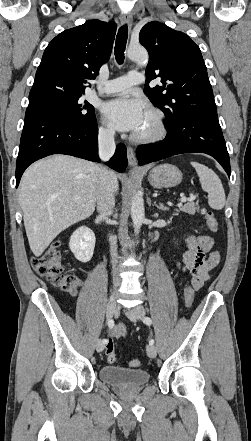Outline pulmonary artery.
<instances>
[{"label":"pulmonary artery","instance_id":"obj_1","mask_svg":"<svg viewBox=\"0 0 251 441\" xmlns=\"http://www.w3.org/2000/svg\"><path fill=\"white\" fill-rule=\"evenodd\" d=\"M144 75L138 71H130L127 75L108 80L105 82L104 93L112 94L129 89L133 85L141 84Z\"/></svg>","mask_w":251,"mask_h":441}]
</instances>
